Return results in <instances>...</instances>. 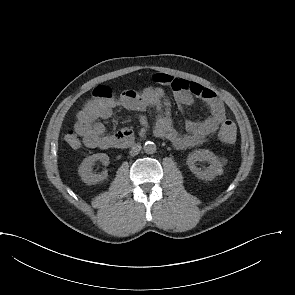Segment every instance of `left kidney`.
<instances>
[{
  "label": "left kidney",
  "instance_id": "left-kidney-1",
  "mask_svg": "<svg viewBox=\"0 0 295 295\" xmlns=\"http://www.w3.org/2000/svg\"><path fill=\"white\" fill-rule=\"evenodd\" d=\"M208 162L210 164L204 170L196 166V162ZM187 165L192 173H194L199 179L212 180L215 176L223 173V164L219 158L211 151L200 149L191 152L187 157Z\"/></svg>",
  "mask_w": 295,
  "mask_h": 295
}]
</instances>
